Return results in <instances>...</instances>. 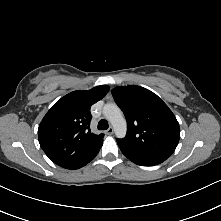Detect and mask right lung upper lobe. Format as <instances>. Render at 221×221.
Listing matches in <instances>:
<instances>
[{"label":"right lung upper lobe","instance_id":"right-lung-upper-lobe-1","mask_svg":"<svg viewBox=\"0 0 221 221\" xmlns=\"http://www.w3.org/2000/svg\"><path fill=\"white\" fill-rule=\"evenodd\" d=\"M108 91L106 85L73 91L46 113L38 128V139L43 151L55 164L78 169L97 155L104 135L90 131V107Z\"/></svg>","mask_w":221,"mask_h":221}]
</instances>
